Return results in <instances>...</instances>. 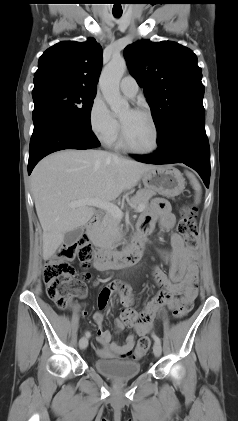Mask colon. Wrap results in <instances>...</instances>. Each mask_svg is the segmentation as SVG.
Segmentation results:
<instances>
[{"mask_svg": "<svg viewBox=\"0 0 238 421\" xmlns=\"http://www.w3.org/2000/svg\"><path fill=\"white\" fill-rule=\"evenodd\" d=\"M196 208L193 205H185L181 209V218L177 230L184 237L186 244L196 248L198 244V232L195 223ZM78 257L83 268L89 266L93 256L91 245L84 239L73 245H62L57 252L45 263L44 280L49 298L59 309L65 310L71 307L75 295H82L85 291V284L90 280L88 274H82L79 278L75 276V270L69 263L74 257ZM192 304L177 300L173 310L175 319L184 318L191 310ZM133 316V314H132ZM151 346V339L144 335L137 342L133 353L134 359L143 356Z\"/></svg>", "mask_w": 238, "mask_h": 421, "instance_id": "obj_1", "label": "colon"}]
</instances>
